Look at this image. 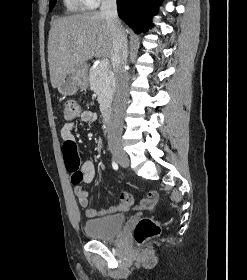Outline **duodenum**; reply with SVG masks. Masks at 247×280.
<instances>
[{"mask_svg": "<svg viewBox=\"0 0 247 280\" xmlns=\"http://www.w3.org/2000/svg\"><path fill=\"white\" fill-rule=\"evenodd\" d=\"M103 119L106 123H109L112 118V111L110 108H105L102 112Z\"/></svg>", "mask_w": 247, "mask_h": 280, "instance_id": "410a0bca", "label": "duodenum"}]
</instances>
